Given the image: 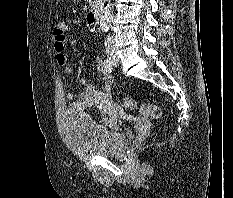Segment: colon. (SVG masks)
Here are the masks:
<instances>
[{"mask_svg": "<svg viewBox=\"0 0 233 198\" xmlns=\"http://www.w3.org/2000/svg\"><path fill=\"white\" fill-rule=\"evenodd\" d=\"M66 33V24L62 20H57L54 29V35L58 37L64 36ZM125 107L129 109H138L142 115L148 118L157 119L161 116V108L155 104H144L136 101L131 97L124 99Z\"/></svg>", "mask_w": 233, "mask_h": 198, "instance_id": "obj_1", "label": "colon"}]
</instances>
